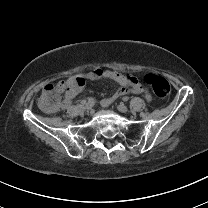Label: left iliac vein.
Wrapping results in <instances>:
<instances>
[{"label":"left iliac vein","mask_w":208,"mask_h":208,"mask_svg":"<svg viewBox=\"0 0 208 208\" xmlns=\"http://www.w3.org/2000/svg\"><path fill=\"white\" fill-rule=\"evenodd\" d=\"M117 109H118L120 112H122V113H126V112L128 111L127 106H125L124 104H119V105L117 106Z\"/></svg>","instance_id":"4c4485c4"}]
</instances>
